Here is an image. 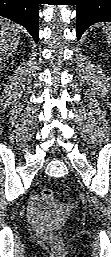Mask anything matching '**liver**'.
Instances as JSON below:
<instances>
[{
  "instance_id": "6515ba94",
  "label": "liver",
  "mask_w": 111,
  "mask_h": 257,
  "mask_svg": "<svg viewBox=\"0 0 111 257\" xmlns=\"http://www.w3.org/2000/svg\"><path fill=\"white\" fill-rule=\"evenodd\" d=\"M22 27L10 20L1 19L0 23V59L5 60L16 49L20 41Z\"/></svg>"
}]
</instances>
